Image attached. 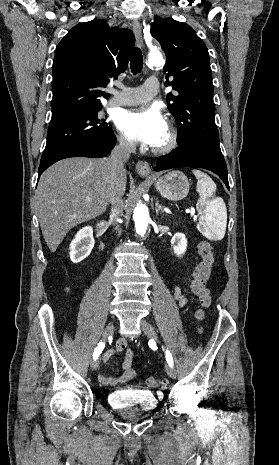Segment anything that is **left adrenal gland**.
Returning <instances> with one entry per match:
<instances>
[{"mask_svg": "<svg viewBox=\"0 0 279 465\" xmlns=\"http://www.w3.org/2000/svg\"><path fill=\"white\" fill-rule=\"evenodd\" d=\"M155 211H156V215H158L159 212L163 213V207H162V205L159 204L158 199H156Z\"/></svg>", "mask_w": 279, "mask_h": 465, "instance_id": "obj_1", "label": "left adrenal gland"}]
</instances>
